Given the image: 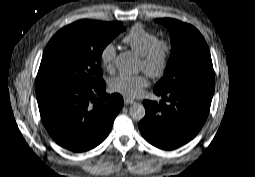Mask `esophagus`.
<instances>
[{
  "label": "esophagus",
  "instance_id": "obj_1",
  "mask_svg": "<svg viewBox=\"0 0 255 177\" xmlns=\"http://www.w3.org/2000/svg\"><path fill=\"white\" fill-rule=\"evenodd\" d=\"M133 103H135V101H134V100H132V99H128V98H124V104H125V105L133 104Z\"/></svg>",
  "mask_w": 255,
  "mask_h": 177
}]
</instances>
